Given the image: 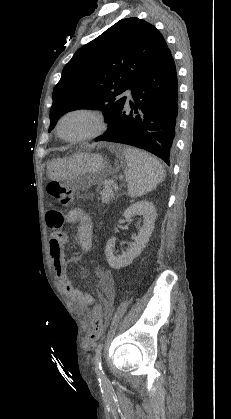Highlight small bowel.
Returning <instances> with one entry per match:
<instances>
[{
    "mask_svg": "<svg viewBox=\"0 0 231 419\" xmlns=\"http://www.w3.org/2000/svg\"><path fill=\"white\" fill-rule=\"evenodd\" d=\"M79 222V231L77 235L78 244L85 251H89L92 241V221L90 217L79 209H73L66 215L59 212H49L46 216L47 225L51 228H59L64 223ZM67 235L62 231L52 233L49 243L50 257L56 277L62 285L66 294L77 305L80 313H86L90 306L95 302L92 295L84 292L79 288H75L68 275V262L65 258L64 248L67 243ZM78 260V259H77ZM100 280L104 291L111 303L113 299V285L111 279L106 273L99 272Z\"/></svg>",
    "mask_w": 231,
    "mask_h": 419,
    "instance_id": "1",
    "label": "small bowel"
}]
</instances>
